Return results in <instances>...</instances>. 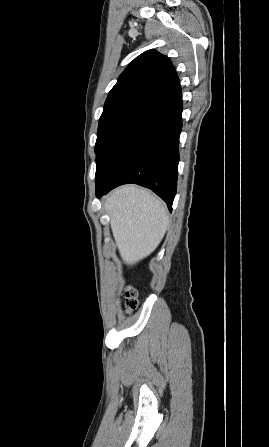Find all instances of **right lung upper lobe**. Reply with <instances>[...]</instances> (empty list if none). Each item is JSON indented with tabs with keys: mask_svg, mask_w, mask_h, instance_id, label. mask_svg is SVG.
<instances>
[{
	"mask_svg": "<svg viewBox=\"0 0 269 447\" xmlns=\"http://www.w3.org/2000/svg\"><path fill=\"white\" fill-rule=\"evenodd\" d=\"M178 83L171 61L155 50H148L120 75L108 94L102 115L125 108L141 109Z\"/></svg>",
	"mask_w": 269,
	"mask_h": 447,
	"instance_id": "cb5924a9",
	"label": "right lung upper lobe"
}]
</instances>
